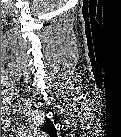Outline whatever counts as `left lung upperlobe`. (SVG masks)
I'll list each match as a JSON object with an SVG mask.
<instances>
[{
  "instance_id": "1",
  "label": "left lung upper lobe",
  "mask_w": 121,
  "mask_h": 137,
  "mask_svg": "<svg viewBox=\"0 0 121 137\" xmlns=\"http://www.w3.org/2000/svg\"><path fill=\"white\" fill-rule=\"evenodd\" d=\"M41 129L44 130L45 132L49 133V134H51L55 130L54 125L50 119H46V122Z\"/></svg>"
}]
</instances>
